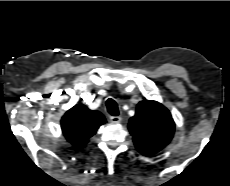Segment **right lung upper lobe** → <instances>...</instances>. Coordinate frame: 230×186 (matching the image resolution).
Returning a JSON list of instances; mask_svg holds the SVG:
<instances>
[{
  "mask_svg": "<svg viewBox=\"0 0 230 186\" xmlns=\"http://www.w3.org/2000/svg\"><path fill=\"white\" fill-rule=\"evenodd\" d=\"M106 123L99 111L88 109L83 104H77L68 110L61 119V128L66 139L76 148L85 147L99 126Z\"/></svg>",
  "mask_w": 230,
  "mask_h": 186,
  "instance_id": "right-lung-upper-lobe-1",
  "label": "right lung upper lobe"
}]
</instances>
